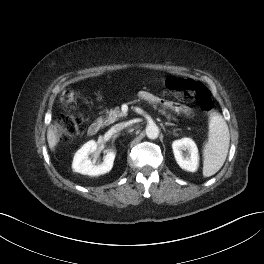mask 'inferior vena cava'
<instances>
[{"label": "inferior vena cava", "mask_w": 264, "mask_h": 264, "mask_svg": "<svg viewBox=\"0 0 264 264\" xmlns=\"http://www.w3.org/2000/svg\"><path fill=\"white\" fill-rule=\"evenodd\" d=\"M124 126H125L124 124H117L111 128V131L113 133L119 132L123 129Z\"/></svg>", "instance_id": "602c4592"}]
</instances>
